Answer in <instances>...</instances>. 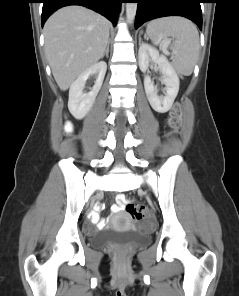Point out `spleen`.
Segmentation results:
<instances>
[{
  "label": "spleen",
  "instance_id": "3e777b00",
  "mask_svg": "<svg viewBox=\"0 0 239 296\" xmlns=\"http://www.w3.org/2000/svg\"><path fill=\"white\" fill-rule=\"evenodd\" d=\"M164 30L171 32L176 38L173 49V64L176 71L185 76L191 75L200 47L195 25L180 17H170L151 21L147 25L146 32L154 38Z\"/></svg>",
  "mask_w": 239,
  "mask_h": 296
}]
</instances>
